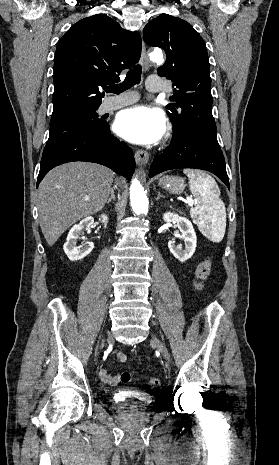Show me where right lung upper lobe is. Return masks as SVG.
I'll list each match as a JSON object with an SVG mask.
<instances>
[{"label":"right lung upper lobe","mask_w":279,"mask_h":465,"mask_svg":"<svg viewBox=\"0 0 279 465\" xmlns=\"http://www.w3.org/2000/svg\"><path fill=\"white\" fill-rule=\"evenodd\" d=\"M140 52V34L122 29L105 14L74 24L55 52L50 126L98 109L101 89L138 62Z\"/></svg>","instance_id":"right-lung-upper-lobe-1"}]
</instances>
